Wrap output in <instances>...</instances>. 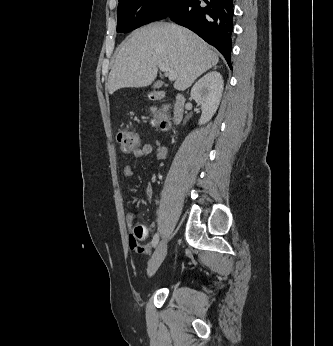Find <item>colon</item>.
<instances>
[{
  "label": "colon",
  "instance_id": "colon-1",
  "mask_svg": "<svg viewBox=\"0 0 333 346\" xmlns=\"http://www.w3.org/2000/svg\"><path fill=\"white\" fill-rule=\"evenodd\" d=\"M169 106H165L162 110H156L157 118L154 120V124L164 130L168 125L167 113L169 112ZM117 142L120 145V148L125 153H131L137 150L141 145L140 136L129 129H120L117 132ZM137 235L140 236V239L148 238L149 233L151 232L150 226H136L134 230Z\"/></svg>",
  "mask_w": 333,
  "mask_h": 346
}]
</instances>
